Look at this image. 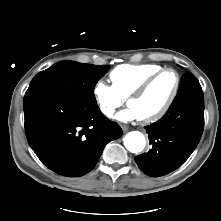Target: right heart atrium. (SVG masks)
Masks as SVG:
<instances>
[{"instance_id": "1", "label": "right heart atrium", "mask_w": 221, "mask_h": 221, "mask_svg": "<svg viewBox=\"0 0 221 221\" xmlns=\"http://www.w3.org/2000/svg\"><path fill=\"white\" fill-rule=\"evenodd\" d=\"M93 97L100 112L107 118H112L117 108L123 103V97L113 86L103 80L95 83Z\"/></svg>"}]
</instances>
